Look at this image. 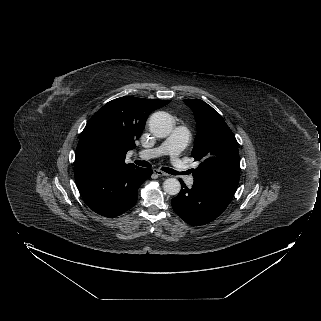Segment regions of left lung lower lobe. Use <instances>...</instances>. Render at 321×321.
I'll return each mask as SVG.
<instances>
[{
    "label": "left lung lower lobe",
    "mask_w": 321,
    "mask_h": 321,
    "mask_svg": "<svg viewBox=\"0 0 321 321\" xmlns=\"http://www.w3.org/2000/svg\"><path fill=\"white\" fill-rule=\"evenodd\" d=\"M239 179L210 177L194 179L191 188L181 182V191L171 200L174 211L188 224L200 226L216 219L231 202Z\"/></svg>",
    "instance_id": "left-lung-lower-lobe-1"
}]
</instances>
